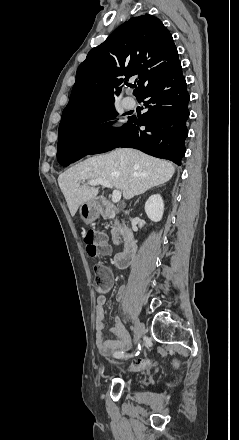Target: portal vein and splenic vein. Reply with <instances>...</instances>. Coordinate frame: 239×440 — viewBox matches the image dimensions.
Wrapping results in <instances>:
<instances>
[{"mask_svg": "<svg viewBox=\"0 0 239 440\" xmlns=\"http://www.w3.org/2000/svg\"><path fill=\"white\" fill-rule=\"evenodd\" d=\"M88 184H89V186H104V188H113L112 184H110V182H106V180H89ZM78 186H79V184H78ZM121 194H122V192H118V190H113L112 202H114V204H117V202H120Z\"/></svg>", "mask_w": 239, "mask_h": 440, "instance_id": "portal-vein-and-splenic-vein-1", "label": "portal vein and splenic vein"}]
</instances>
